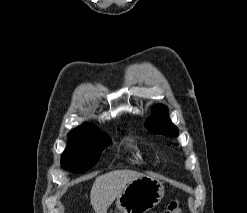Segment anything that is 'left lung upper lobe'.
I'll return each instance as SVG.
<instances>
[{
  "instance_id": "5c2ea615",
  "label": "left lung upper lobe",
  "mask_w": 247,
  "mask_h": 213,
  "mask_svg": "<svg viewBox=\"0 0 247 213\" xmlns=\"http://www.w3.org/2000/svg\"><path fill=\"white\" fill-rule=\"evenodd\" d=\"M155 112L154 118H150L146 124L152 133L171 135L176 137L178 135L177 127L172 124L168 116V110L163 105L153 107Z\"/></svg>"
}]
</instances>
